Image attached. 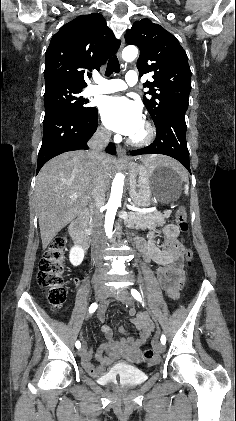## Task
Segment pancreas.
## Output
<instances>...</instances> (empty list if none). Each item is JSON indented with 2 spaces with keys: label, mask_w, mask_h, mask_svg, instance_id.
Wrapping results in <instances>:
<instances>
[{
  "label": "pancreas",
  "mask_w": 236,
  "mask_h": 421,
  "mask_svg": "<svg viewBox=\"0 0 236 421\" xmlns=\"http://www.w3.org/2000/svg\"><path fill=\"white\" fill-rule=\"evenodd\" d=\"M172 211H154V213H128V219H125L124 225L129 229H149L151 225H165L166 219L170 217ZM85 231L91 233L92 225H88Z\"/></svg>",
  "instance_id": "obj_1"
}]
</instances>
